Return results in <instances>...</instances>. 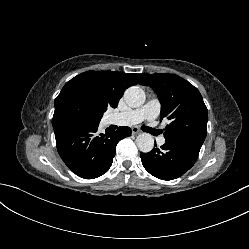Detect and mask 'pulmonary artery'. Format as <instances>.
I'll return each mask as SVG.
<instances>
[{
    "label": "pulmonary artery",
    "instance_id": "e3ab8cb5",
    "mask_svg": "<svg viewBox=\"0 0 249 249\" xmlns=\"http://www.w3.org/2000/svg\"><path fill=\"white\" fill-rule=\"evenodd\" d=\"M161 104L158 99H151L140 108L127 112L114 113L109 116V121L112 124L121 126H130L137 124L143 120L153 121L160 113ZM159 145L165 143L164 137L158 140Z\"/></svg>",
    "mask_w": 249,
    "mask_h": 249
}]
</instances>
